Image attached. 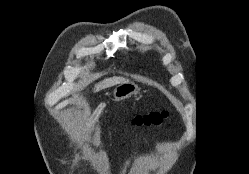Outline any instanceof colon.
Returning <instances> with one entry per match:
<instances>
[{
    "label": "colon",
    "instance_id": "colon-1",
    "mask_svg": "<svg viewBox=\"0 0 249 174\" xmlns=\"http://www.w3.org/2000/svg\"><path fill=\"white\" fill-rule=\"evenodd\" d=\"M167 117V111H153L150 113L137 115L133 122L138 126L158 127L165 122Z\"/></svg>",
    "mask_w": 249,
    "mask_h": 174
}]
</instances>
